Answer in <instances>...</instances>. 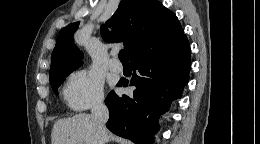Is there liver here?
<instances>
[{
	"mask_svg": "<svg viewBox=\"0 0 260 144\" xmlns=\"http://www.w3.org/2000/svg\"><path fill=\"white\" fill-rule=\"evenodd\" d=\"M111 136L106 128L98 130L92 115L77 114L54 123L51 144H105Z\"/></svg>",
	"mask_w": 260,
	"mask_h": 144,
	"instance_id": "1",
	"label": "liver"
}]
</instances>
